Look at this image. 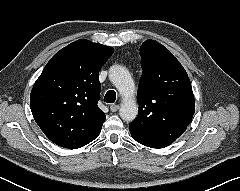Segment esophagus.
<instances>
[{
    "mask_svg": "<svg viewBox=\"0 0 240 191\" xmlns=\"http://www.w3.org/2000/svg\"><path fill=\"white\" fill-rule=\"evenodd\" d=\"M118 109H119V105H117V104H112V105L110 106V110H111L112 112H116V111H118Z\"/></svg>",
    "mask_w": 240,
    "mask_h": 191,
    "instance_id": "esophagus-1",
    "label": "esophagus"
}]
</instances>
